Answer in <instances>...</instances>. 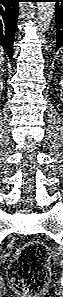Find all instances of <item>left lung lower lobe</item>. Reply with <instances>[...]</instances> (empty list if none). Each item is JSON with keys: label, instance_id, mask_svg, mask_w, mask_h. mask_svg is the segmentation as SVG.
<instances>
[{"label": "left lung lower lobe", "instance_id": "1", "mask_svg": "<svg viewBox=\"0 0 63 297\" xmlns=\"http://www.w3.org/2000/svg\"><path fill=\"white\" fill-rule=\"evenodd\" d=\"M56 2V51L63 47V0H50Z\"/></svg>", "mask_w": 63, "mask_h": 297}]
</instances>
